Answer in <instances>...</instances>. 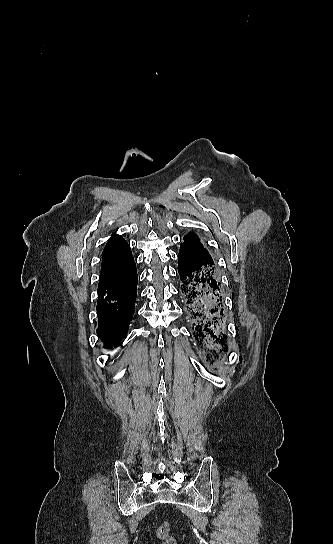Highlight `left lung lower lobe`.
Wrapping results in <instances>:
<instances>
[{"mask_svg":"<svg viewBox=\"0 0 333 544\" xmlns=\"http://www.w3.org/2000/svg\"><path fill=\"white\" fill-rule=\"evenodd\" d=\"M184 309L207 357L227 350L222 286L215 264L181 246L178 254Z\"/></svg>","mask_w":333,"mask_h":544,"instance_id":"obj_1","label":"left lung lower lobe"}]
</instances>
